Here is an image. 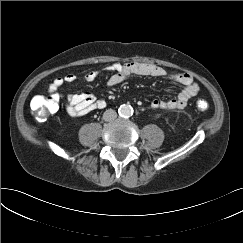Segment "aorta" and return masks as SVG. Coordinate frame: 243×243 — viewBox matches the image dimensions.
<instances>
[{
    "label": "aorta",
    "mask_w": 243,
    "mask_h": 243,
    "mask_svg": "<svg viewBox=\"0 0 243 243\" xmlns=\"http://www.w3.org/2000/svg\"><path fill=\"white\" fill-rule=\"evenodd\" d=\"M118 113L121 117H130L133 114V108L130 105L122 104L119 109Z\"/></svg>",
    "instance_id": "1"
}]
</instances>
